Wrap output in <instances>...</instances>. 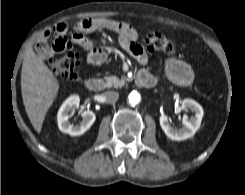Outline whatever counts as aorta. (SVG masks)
Masks as SVG:
<instances>
[{
	"label": "aorta",
	"instance_id": "1",
	"mask_svg": "<svg viewBox=\"0 0 245 195\" xmlns=\"http://www.w3.org/2000/svg\"><path fill=\"white\" fill-rule=\"evenodd\" d=\"M128 100L132 106H135L140 102V94L137 91H132L129 94Z\"/></svg>",
	"mask_w": 245,
	"mask_h": 195
}]
</instances>
